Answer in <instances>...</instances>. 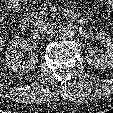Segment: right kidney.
Listing matches in <instances>:
<instances>
[{"instance_id":"1","label":"right kidney","mask_w":113,"mask_h":113,"mask_svg":"<svg viewBox=\"0 0 113 113\" xmlns=\"http://www.w3.org/2000/svg\"><path fill=\"white\" fill-rule=\"evenodd\" d=\"M25 40L21 36H16L11 40L10 45L7 47L6 64L7 67L16 73H26L32 71L38 63V55L32 53L25 61L22 60V53L18 50L25 44Z\"/></svg>"}]
</instances>
